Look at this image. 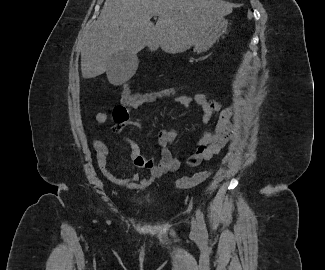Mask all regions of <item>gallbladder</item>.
<instances>
[{
  "instance_id": "1",
  "label": "gallbladder",
  "mask_w": 325,
  "mask_h": 270,
  "mask_svg": "<svg viewBox=\"0 0 325 270\" xmlns=\"http://www.w3.org/2000/svg\"><path fill=\"white\" fill-rule=\"evenodd\" d=\"M110 65L107 71L109 76L122 77H131L137 67H138V58L136 55H132L127 51H122L114 54L109 61Z\"/></svg>"
}]
</instances>
